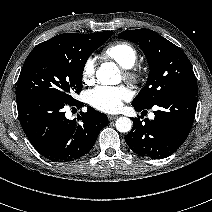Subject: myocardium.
<instances>
[{"label":"myocardium","mask_w":212,"mask_h":212,"mask_svg":"<svg viewBox=\"0 0 212 212\" xmlns=\"http://www.w3.org/2000/svg\"><path fill=\"white\" fill-rule=\"evenodd\" d=\"M123 76L125 79H128L133 82L140 81L142 77L141 70L134 64L132 67L124 69Z\"/></svg>","instance_id":"f54148a6"}]
</instances>
